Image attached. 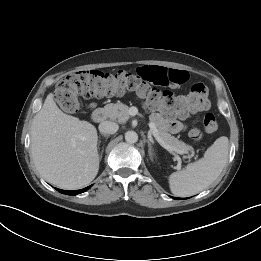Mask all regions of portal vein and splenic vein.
Masks as SVG:
<instances>
[{
  "label": "portal vein and splenic vein",
  "instance_id": "1",
  "mask_svg": "<svg viewBox=\"0 0 261 261\" xmlns=\"http://www.w3.org/2000/svg\"><path fill=\"white\" fill-rule=\"evenodd\" d=\"M149 125V128H150V132L153 134L154 138L157 140V142L162 146L164 147L166 150L172 152V151H175V149L171 146H169L168 144H166L164 142V140H162L160 138V136L158 135V130L156 128V125L153 123V122H149L148 123ZM177 159H179V157H177ZM178 168H180V166H178Z\"/></svg>",
  "mask_w": 261,
  "mask_h": 261
}]
</instances>
